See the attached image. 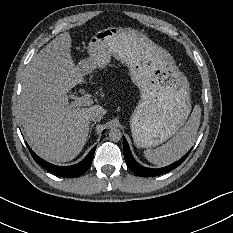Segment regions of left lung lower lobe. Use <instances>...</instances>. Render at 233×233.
I'll list each match as a JSON object with an SVG mask.
<instances>
[{"label":"left lung lower lobe","mask_w":233,"mask_h":233,"mask_svg":"<svg viewBox=\"0 0 233 233\" xmlns=\"http://www.w3.org/2000/svg\"><path fill=\"white\" fill-rule=\"evenodd\" d=\"M123 152L125 156L126 163L130 169H132L137 175L142 176V177H152V176H158L164 173H167L171 171L172 169L176 168L178 165H180L189 155L191 152V149L188 151L186 155H184L180 160L177 162H174L171 165H168L163 168H158V169H151V168H146L141 166L136 162V160L133 158L129 145L126 141L125 138H123Z\"/></svg>","instance_id":"obj_1"}]
</instances>
